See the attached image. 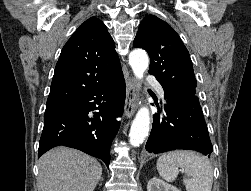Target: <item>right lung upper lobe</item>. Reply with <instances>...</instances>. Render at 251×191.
Instances as JSON below:
<instances>
[{
    "label": "right lung upper lobe",
    "instance_id": "obj_1",
    "mask_svg": "<svg viewBox=\"0 0 251 191\" xmlns=\"http://www.w3.org/2000/svg\"><path fill=\"white\" fill-rule=\"evenodd\" d=\"M122 74L104 23L91 17L70 37L55 67L46 111L63 107Z\"/></svg>",
    "mask_w": 251,
    "mask_h": 191
}]
</instances>
